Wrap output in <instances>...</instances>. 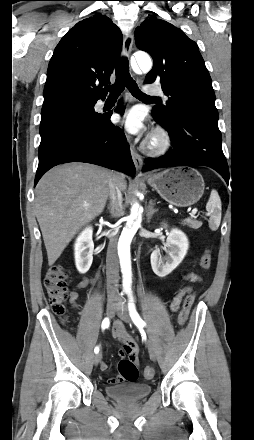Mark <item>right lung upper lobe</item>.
<instances>
[{"label": "right lung upper lobe", "mask_w": 254, "mask_h": 440, "mask_svg": "<svg viewBox=\"0 0 254 440\" xmlns=\"http://www.w3.org/2000/svg\"><path fill=\"white\" fill-rule=\"evenodd\" d=\"M122 33L105 15L78 22L56 46L43 92L44 101L75 94L89 99L106 96L114 63L122 48Z\"/></svg>", "instance_id": "cb5924a9"}]
</instances>
